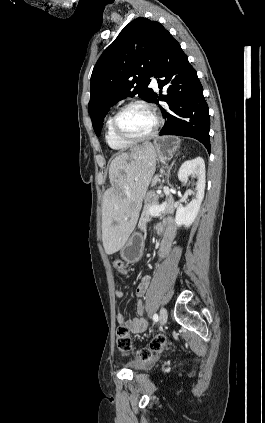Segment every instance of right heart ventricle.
<instances>
[{
    "mask_svg": "<svg viewBox=\"0 0 265 423\" xmlns=\"http://www.w3.org/2000/svg\"><path fill=\"white\" fill-rule=\"evenodd\" d=\"M115 113H111L107 120H106V129H105V140L108 146L114 150V151H125L129 147H131L132 144L126 143L118 139L112 129V120Z\"/></svg>",
    "mask_w": 265,
    "mask_h": 423,
    "instance_id": "obj_1",
    "label": "right heart ventricle"
}]
</instances>
